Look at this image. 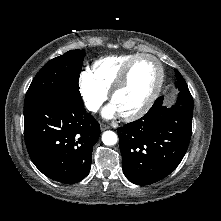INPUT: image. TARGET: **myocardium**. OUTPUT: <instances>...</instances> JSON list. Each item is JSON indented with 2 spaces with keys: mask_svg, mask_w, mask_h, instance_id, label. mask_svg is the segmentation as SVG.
<instances>
[{
  "mask_svg": "<svg viewBox=\"0 0 221 221\" xmlns=\"http://www.w3.org/2000/svg\"><path fill=\"white\" fill-rule=\"evenodd\" d=\"M141 59H151L156 63L158 70H159V78H158V82H157L155 89L153 90V92L151 93V95L149 96V98L143 104L142 107H140L138 110L131 112V113H125V114L120 113L121 117L126 121H134V120H137V119L143 117L150 110V108L153 106V104L156 101V99L158 98V96L162 90L163 84H164L165 71H164V67H163L162 63L160 62V60L151 54H145V53L139 54V55L135 56L133 59H131L123 67V69L119 73L115 83L113 84V86L110 90L111 101H113L115 95L123 88V86L127 82V79L129 77V74H130L133 66Z\"/></svg>",
  "mask_w": 221,
  "mask_h": 221,
  "instance_id": "1",
  "label": "myocardium"
}]
</instances>
